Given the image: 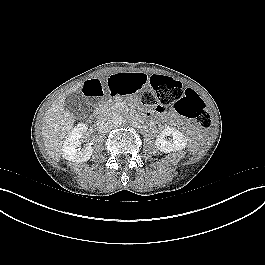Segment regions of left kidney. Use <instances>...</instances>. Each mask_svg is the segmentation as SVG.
Here are the masks:
<instances>
[{"mask_svg": "<svg viewBox=\"0 0 265 265\" xmlns=\"http://www.w3.org/2000/svg\"><path fill=\"white\" fill-rule=\"evenodd\" d=\"M168 136H172V140H167ZM155 144L160 151L170 153L184 149L187 139L179 130L168 127L157 136Z\"/></svg>", "mask_w": 265, "mask_h": 265, "instance_id": "5707ae66", "label": "left kidney"}]
</instances>
